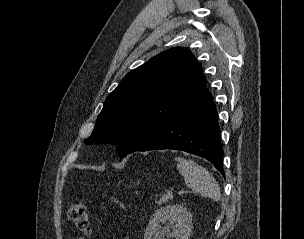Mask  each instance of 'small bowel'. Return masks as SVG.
I'll use <instances>...</instances> for the list:
<instances>
[{
    "instance_id": "obj_1",
    "label": "small bowel",
    "mask_w": 304,
    "mask_h": 239,
    "mask_svg": "<svg viewBox=\"0 0 304 239\" xmlns=\"http://www.w3.org/2000/svg\"><path fill=\"white\" fill-rule=\"evenodd\" d=\"M78 239H85V238H83V237H79Z\"/></svg>"
}]
</instances>
